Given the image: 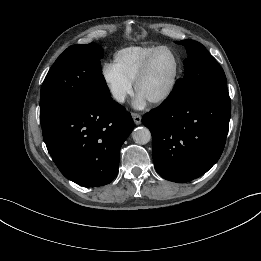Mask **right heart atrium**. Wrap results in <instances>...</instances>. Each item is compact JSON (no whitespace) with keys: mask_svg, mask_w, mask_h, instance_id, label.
I'll return each mask as SVG.
<instances>
[{"mask_svg":"<svg viewBox=\"0 0 261 261\" xmlns=\"http://www.w3.org/2000/svg\"><path fill=\"white\" fill-rule=\"evenodd\" d=\"M102 80L113 98L119 104H123L132 94V82L120 74L112 63H105L101 69Z\"/></svg>","mask_w":261,"mask_h":261,"instance_id":"obj_1","label":"right heart atrium"}]
</instances>
